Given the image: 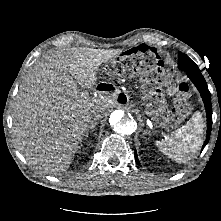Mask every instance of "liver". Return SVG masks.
<instances>
[{"instance_id":"liver-1","label":"liver","mask_w":221,"mask_h":221,"mask_svg":"<svg viewBox=\"0 0 221 221\" xmlns=\"http://www.w3.org/2000/svg\"><path fill=\"white\" fill-rule=\"evenodd\" d=\"M121 53L86 47L44 56L21 85L13 116V134L26 160L56 172L68 168L93 116L107 115L114 101L89 98L82 90L97 82L99 66Z\"/></svg>"}]
</instances>
